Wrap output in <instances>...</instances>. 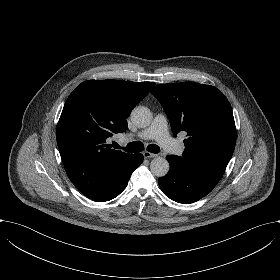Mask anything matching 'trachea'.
<instances>
[{"mask_svg": "<svg viewBox=\"0 0 280 280\" xmlns=\"http://www.w3.org/2000/svg\"><path fill=\"white\" fill-rule=\"evenodd\" d=\"M126 152H141L144 149V145L141 141H133L127 144L126 147H123ZM147 150L151 153L157 154L160 152V148L156 144H150L147 147Z\"/></svg>", "mask_w": 280, "mask_h": 280, "instance_id": "trachea-1", "label": "trachea"}]
</instances>
